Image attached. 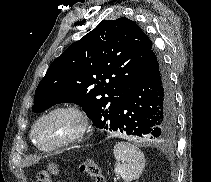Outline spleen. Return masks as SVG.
<instances>
[{"mask_svg":"<svg viewBox=\"0 0 211 182\" xmlns=\"http://www.w3.org/2000/svg\"><path fill=\"white\" fill-rule=\"evenodd\" d=\"M113 154L116 159L114 172L125 182L138 179L145 167L143 152L128 142H118L114 146Z\"/></svg>","mask_w":211,"mask_h":182,"instance_id":"3e777b00","label":"spleen"}]
</instances>
